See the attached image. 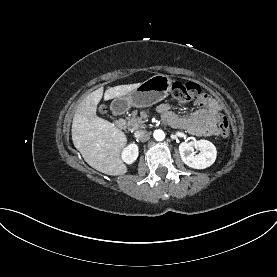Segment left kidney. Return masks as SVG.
<instances>
[{
	"mask_svg": "<svg viewBox=\"0 0 277 277\" xmlns=\"http://www.w3.org/2000/svg\"><path fill=\"white\" fill-rule=\"evenodd\" d=\"M198 148L201 152L195 155L193 150ZM179 153L182 161L194 169H205L211 166L216 160V147L207 140H196L191 142H182L179 145Z\"/></svg>",
	"mask_w": 277,
	"mask_h": 277,
	"instance_id": "1",
	"label": "left kidney"
}]
</instances>
